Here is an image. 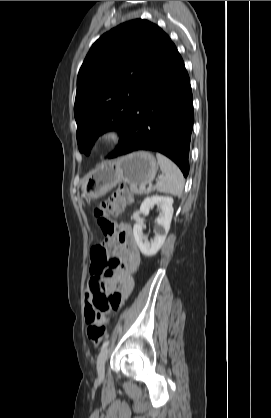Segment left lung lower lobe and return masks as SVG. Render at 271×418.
Wrapping results in <instances>:
<instances>
[{"mask_svg": "<svg viewBox=\"0 0 271 418\" xmlns=\"http://www.w3.org/2000/svg\"><path fill=\"white\" fill-rule=\"evenodd\" d=\"M194 123L193 96L184 62L174 44L139 96L109 158L137 150L162 153L184 176L189 173V145Z\"/></svg>", "mask_w": 271, "mask_h": 418, "instance_id": "obj_1", "label": "left lung lower lobe"}]
</instances>
